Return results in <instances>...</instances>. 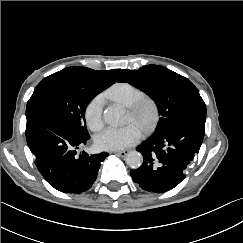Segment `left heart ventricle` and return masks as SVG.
I'll return each instance as SVG.
<instances>
[{
    "label": "left heart ventricle",
    "instance_id": "obj_1",
    "mask_svg": "<svg viewBox=\"0 0 243 243\" xmlns=\"http://www.w3.org/2000/svg\"><path fill=\"white\" fill-rule=\"evenodd\" d=\"M150 113L149 111H145L143 115L136 117L130 111L128 112L127 122H134L139 127H143L145 123L149 120Z\"/></svg>",
    "mask_w": 243,
    "mask_h": 243
}]
</instances>
